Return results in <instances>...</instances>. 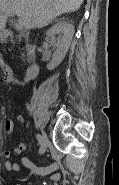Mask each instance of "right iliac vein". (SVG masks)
Here are the masks:
<instances>
[{
    "label": "right iliac vein",
    "mask_w": 119,
    "mask_h": 185,
    "mask_svg": "<svg viewBox=\"0 0 119 185\" xmlns=\"http://www.w3.org/2000/svg\"><path fill=\"white\" fill-rule=\"evenodd\" d=\"M48 144V137L45 132L41 134V144H40V154H43L46 151Z\"/></svg>",
    "instance_id": "right-iliac-vein-1"
}]
</instances>
